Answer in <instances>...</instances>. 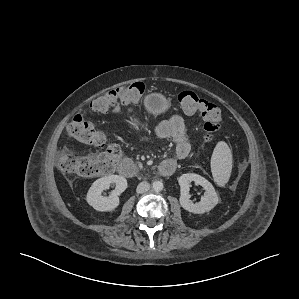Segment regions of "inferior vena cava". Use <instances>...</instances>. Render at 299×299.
<instances>
[{"label":"inferior vena cava","mask_w":299,"mask_h":299,"mask_svg":"<svg viewBox=\"0 0 299 299\" xmlns=\"http://www.w3.org/2000/svg\"><path fill=\"white\" fill-rule=\"evenodd\" d=\"M150 189V184L147 181L140 182L137 186V193L142 194Z\"/></svg>","instance_id":"602c4592"}]
</instances>
